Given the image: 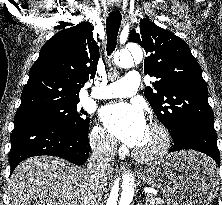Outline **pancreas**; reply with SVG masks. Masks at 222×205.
<instances>
[{
	"mask_svg": "<svg viewBox=\"0 0 222 205\" xmlns=\"http://www.w3.org/2000/svg\"><path fill=\"white\" fill-rule=\"evenodd\" d=\"M146 205H164V202L159 197L148 196L146 198Z\"/></svg>",
	"mask_w": 222,
	"mask_h": 205,
	"instance_id": "1",
	"label": "pancreas"
}]
</instances>
